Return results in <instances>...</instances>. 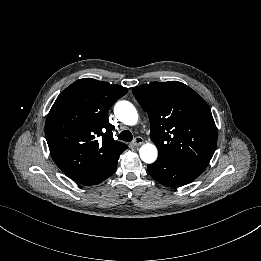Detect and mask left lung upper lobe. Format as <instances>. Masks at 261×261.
I'll return each instance as SVG.
<instances>
[{
  "instance_id": "5c2ea615",
  "label": "left lung upper lobe",
  "mask_w": 261,
  "mask_h": 261,
  "mask_svg": "<svg viewBox=\"0 0 261 261\" xmlns=\"http://www.w3.org/2000/svg\"><path fill=\"white\" fill-rule=\"evenodd\" d=\"M132 92L148 113L158 158L206 168L217 145L216 125L206 102L177 81L144 84Z\"/></svg>"
}]
</instances>
